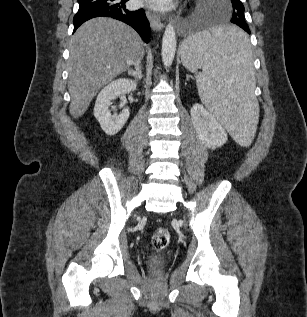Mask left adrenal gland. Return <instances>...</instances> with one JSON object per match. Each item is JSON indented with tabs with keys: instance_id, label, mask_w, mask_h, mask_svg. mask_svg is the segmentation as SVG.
I'll return each instance as SVG.
<instances>
[{
	"instance_id": "obj_1",
	"label": "left adrenal gland",
	"mask_w": 307,
	"mask_h": 317,
	"mask_svg": "<svg viewBox=\"0 0 307 317\" xmlns=\"http://www.w3.org/2000/svg\"><path fill=\"white\" fill-rule=\"evenodd\" d=\"M189 77H190V76H189V75H187V78H186V80H188V79H189Z\"/></svg>"
}]
</instances>
